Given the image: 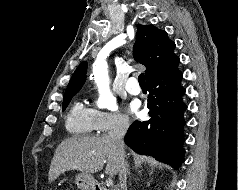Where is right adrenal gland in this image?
Wrapping results in <instances>:
<instances>
[{"label":"right adrenal gland","instance_id":"obj_1","mask_svg":"<svg viewBox=\"0 0 238 190\" xmlns=\"http://www.w3.org/2000/svg\"><path fill=\"white\" fill-rule=\"evenodd\" d=\"M129 167V165H127V168ZM127 173L130 175V170L129 169H127Z\"/></svg>","mask_w":238,"mask_h":190}]
</instances>
